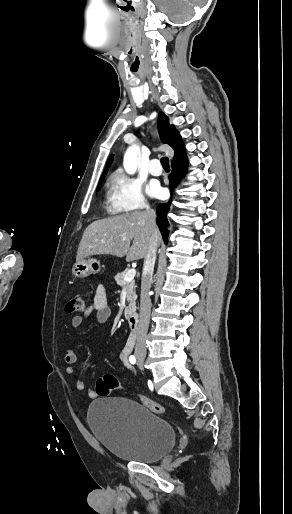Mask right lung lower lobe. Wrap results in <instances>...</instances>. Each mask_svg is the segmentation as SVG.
Returning <instances> with one entry per match:
<instances>
[{
    "label": "right lung lower lobe",
    "mask_w": 292,
    "mask_h": 514,
    "mask_svg": "<svg viewBox=\"0 0 292 514\" xmlns=\"http://www.w3.org/2000/svg\"><path fill=\"white\" fill-rule=\"evenodd\" d=\"M171 165H172V173L169 176V184H170V192L172 194L174 189L181 182V179L185 176V174L187 172V167H188L187 156L184 155L183 157L173 161L171 163ZM170 206H171V200H169L167 203L159 204L157 207L156 222L162 233L165 243H167V236L169 233V230H168L169 223L167 220V213L170 210Z\"/></svg>",
    "instance_id": "obj_1"
}]
</instances>
